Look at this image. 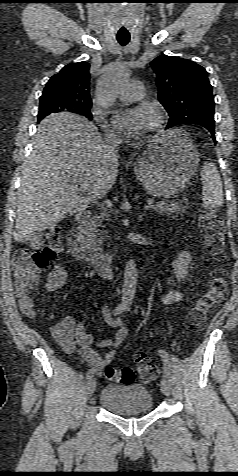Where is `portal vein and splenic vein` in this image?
<instances>
[{"label": "portal vein and splenic vein", "mask_w": 238, "mask_h": 476, "mask_svg": "<svg viewBox=\"0 0 238 476\" xmlns=\"http://www.w3.org/2000/svg\"><path fill=\"white\" fill-rule=\"evenodd\" d=\"M74 187H75L77 190H80L78 185H75ZM154 206H155V205H154L153 201H152V200H148L147 203H146V205H145V208H146V209H152V208H154ZM101 209H103V208H101Z\"/></svg>", "instance_id": "obj_1"}]
</instances>
